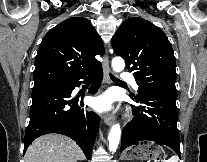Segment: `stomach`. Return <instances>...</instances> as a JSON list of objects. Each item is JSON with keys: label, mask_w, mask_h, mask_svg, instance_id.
I'll use <instances>...</instances> for the list:
<instances>
[{"label": "stomach", "mask_w": 207, "mask_h": 162, "mask_svg": "<svg viewBox=\"0 0 207 162\" xmlns=\"http://www.w3.org/2000/svg\"><path fill=\"white\" fill-rule=\"evenodd\" d=\"M165 156L163 149L153 142L139 144L124 153L126 160H157Z\"/></svg>", "instance_id": "obj_1"}]
</instances>
